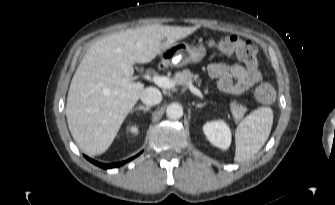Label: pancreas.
I'll return each mask as SVG.
<instances>
[{
	"label": "pancreas",
	"mask_w": 335,
	"mask_h": 205,
	"mask_svg": "<svg viewBox=\"0 0 335 205\" xmlns=\"http://www.w3.org/2000/svg\"><path fill=\"white\" fill-rule=\"evenodd\" d=\"M198 78H199L198 74H193L188 69H185L175 74L176 82L182 86H189V84H192L193 81H196L198 85H200L201 80L198 81ZM230 111L232 113L234 121L238 122L246 112V108L233 101L230 103Z\"/></svg>",
	"instance_id": "pancreas-1"
}]
</instances>
